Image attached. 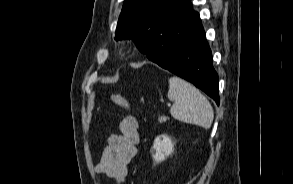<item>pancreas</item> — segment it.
Instances as JSON below:
<instances>
[{
  "instance_id": "cf45deb5",
  "label": "pancreas",
  "mask_w": 293,
  "mask_h": 184,
  "mask_svg": "<svg viewBox=\"0 0 293 184\" xmlns=\"http://www.w3.org/2000/svg\"><path fill=\"white\" fill-rule=\"evenodd\" d=\"M167 120V117L166 116H160L159 118H158V121L160 122V123H163V122H165Z\"/></svg>"
}]
</instances>
